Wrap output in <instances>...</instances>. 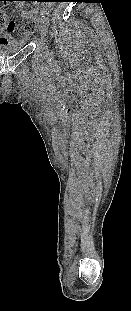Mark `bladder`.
<instances>
[{"mask_svg": "<svg viewBox=\"0 0 131 311\" xmlns=\"http://www.w3.org/2000/svg\"><path fill=\"white\" fill-rule=\"evenodd\" d=\"M26 42L20 40H11L9 42L0 43V55H8L22 49Z\"/></svg>", "mask_w": 131, "mask_h": 311, "instance_id": "obj_1", "label": "bladder"}]
</instances>
